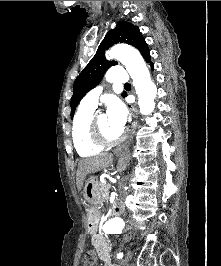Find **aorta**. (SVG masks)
I'll return each instance as SVG.
<instances>
[{"label": "aorta", "mask_w": 221, "mask_h": 266, "mask_svg": "<svg viewBox=\"0 0 221 266\" xmlns=\"http://www.w3.org/2000/svg\"><path fill=\"white\" fill-rule=\"evenodd\" d=\"M107 58L120 61L127 69L133 80L138 105L143 115L154 111L157 87L150 77L149 70L140 53L125 45H115L107 52ZM125 224L119 217H113L103 224V230L108 234H120Z\"/></svg>", "instance_id": "aorta-1"}]
</instances>
